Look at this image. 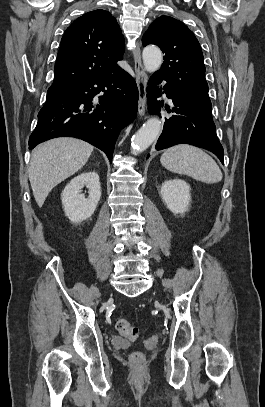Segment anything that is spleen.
<instances>
[{"instance_id":"3e777b00","label":"spleen","mask_w":265,"mask_h":407,"mask_svg":"<svg viewBox=\"0 0 265 407\" xmlns=\"http://www.w3.org/2000/svg\"><path fill=\"white\" fill-rule=\"evenodd\" d=\"M161 164L169 171L213 184L222 180V172L214 159L202 149L181 144L164 151Z\"/></svg>"}]
</instances>
